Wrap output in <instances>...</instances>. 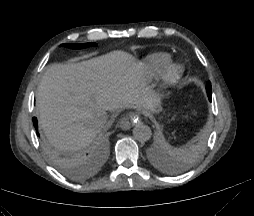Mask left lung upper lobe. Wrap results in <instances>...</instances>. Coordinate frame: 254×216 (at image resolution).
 Masks as SVG:
<instances>
[{
  "instance_id": "obj_1",
  "label": "left lung upper lobe",
  "mask_w": 254,
  "mask_h": 216,
  "mask_svg": "<svg viewBox=\"0 0 254 216\" xmlns=\"http://www.w3.org/2000/svg\"><path fill=\"white\" fill-rule=\"evenodd\" d=\"M206 91H207V95H211V83L210 82H207Z\"/></svg>"
}]
</instances>
